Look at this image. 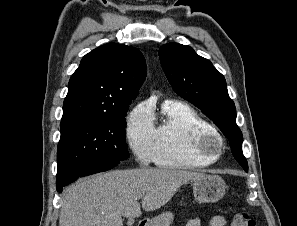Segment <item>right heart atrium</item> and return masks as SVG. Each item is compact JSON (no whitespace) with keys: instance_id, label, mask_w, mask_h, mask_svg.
Instances as JSON below:
<instances>
[{"instance_id":"1","label":"right heart atrium","mask_w":297,"mask_h":226,"mask_svg":"<svg viewBox=\"0 0 297 226\" xmlns=\"http://www.w3.org/2000/svg\"><path fill=\"white\" fill-rule=\"evenodd\" d=\"M126 141L138 162L147 165L154 161L155 127L148 105L138 104L129 113Z\"/></svg>"}]
</instances>
